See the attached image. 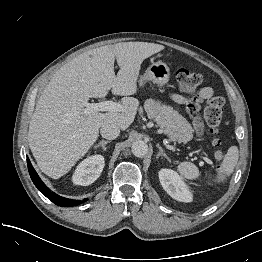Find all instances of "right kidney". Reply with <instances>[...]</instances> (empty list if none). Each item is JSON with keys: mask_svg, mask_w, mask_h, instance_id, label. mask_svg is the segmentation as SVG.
Listing matches in <instances>:
<instances>
[{"mask_svg": "<svg viewBox=\"0 0 262 262\" xmlns=\"http://www.w3.org/2000/svg\"><path fill=\"white\" fill-rule=\"evenodd\" d=\"M104 168V157L94 155L83 160L76 168L72 181L76 185L87 186L98 179Z\"/></svg>", "mask_w": 262, "mask_h": 262, "instance_id": "1", "label": "right kidney"}]
</instances>
